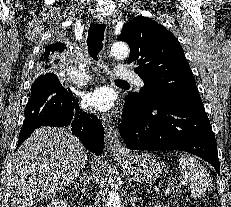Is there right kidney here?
Wrapping results in <instances>:
<instances>
[{
	"mask_svg": "<svg viewBox=\"0 0 231 207\" xmlns=\"http://www.w3.org/2000/svg\"><path fill=\"white\" fill-rule=\"evenodd\" d=\"M47 207H68V203L66 200L62 199H55L52 200Z\"/></svg>",
	"mask_w": 231,
	"mask_h": 207,
	"instance_id": "right-kidney-1",
	"label": "right kidney"
}]
</instances>
